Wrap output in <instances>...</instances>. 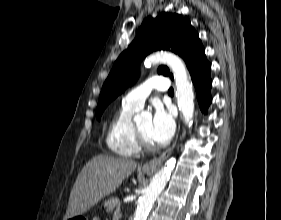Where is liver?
I'll list each match as a JSON object with an SVG mask.
<instances>
[{"mask_svg": "<svg viewBox=\"0 0 281 220\" xmlns=\"http://www.w3.org/2000/svg\"><path fill=\"white\" fill-rule=\"evenodd\" d=\"M131 159L97 155L78 174L70 193L63 220L82 215L105 196L113 193L136 169Z\"/></svg>", "mask_w": 281, "mask_h": 220, "instance_id": "liver-1", "label": "liver"}]
</instances>
